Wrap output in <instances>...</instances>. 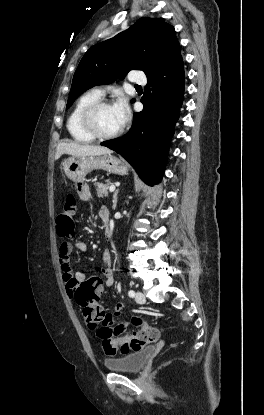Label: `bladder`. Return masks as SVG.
Segmentation results:
<instances>
[{"label":"bladder","mask_w":264,"mask_h":415,"mask_svg":"<svg viewBox=\"0 0 264 415\" xmlns=\"http://www.w3.org/2000/svg\"><path fill=\"white\" fill-rule=\"evenodd\" d=\"M155 350V345L146 346L116 359H106L104 364L111 371L136 373L144 367Z\"/></svg>","instance_id":"obj_1"}]
</instances>
